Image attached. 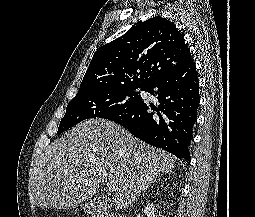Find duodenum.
I'll return each mask as SVG.
<instances>
[{
  "mask_svg": "<svg viewBox=\"0 0 255 217\" xmlns=\"http://www.w3.org/2000/svg\"><path fill=\"white\" fill-rule=\"evenodd\" d=\"M92 217H122L118 212H105V211H95L92 213Z\"/></svg>",
  "mask_w": 255,
  "mask_h": 217,
  "instance_id": "obj_1",
  "label": "duodenum"
}]
</instances>
